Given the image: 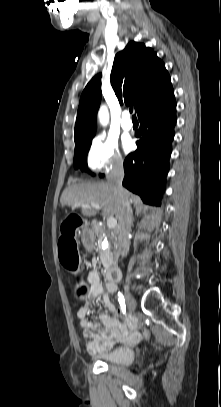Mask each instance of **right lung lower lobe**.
<instances>
[{
  "instance_id": "obj_1",
  "label": "right lung lower lobe",
  "mask_w": 221,
  "mask_h": 407,
  "mask_svg": "<svg viewBox=\"0 0 221 407\" xmlns=\"http://www.w3.org/2000/svg\"><path fill=\"white\" fill-rule=\"evenodd\" d=\"M141 123L135 136L137 150L124 161L123 186L140 195L144 202L160 205L169 170L176 102L170 86L162 95L138 111Z\"/></svg>"
}]
</instances>
